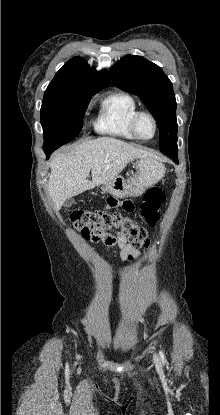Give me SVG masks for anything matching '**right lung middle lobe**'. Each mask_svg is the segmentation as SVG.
I'll list each match as a JSON object with an SVG mask.
<instances>
[{"instance_id": "1", "label": "right lung middle lobe", "mask_w": 220, "mask_h": 415, "mask_svg": "<svg viewBox=\"0 0 220 415\" xmlns=\"http://www.w3.org/2000/svg\"><path fill=\"white\" fill-rule=\"evenodd\" d=\"M65 90H46L41 106V125L44 131L43 149H57L75 139L83 125V114L91 96Z\"/></svg>"}]
</instances>
